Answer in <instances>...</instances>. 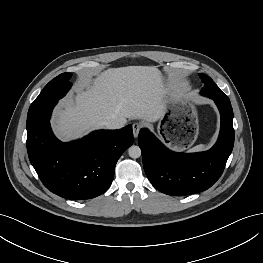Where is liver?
I'll list each match as a JSON object with an SVG mask.
<instances>
[{
    "label": "liver",
    "mask_w": 263,
    "mask_h": 263,
    "mask_svg": "<svg viewBox=\"0 0 263 263\" xmlns=\"http://www.w3.org/2000/svg\"><path fill=\"white\" fill-rule=\"evenodd\" d=\"M167 91L153 66L110 68L96 78L84 75L75 98L64 100L56 110L54 130L59 138L70 140L103 128L111 119L124 124L127 118L157 121L166 113Z\"/></svg>",
    "instance_id": "6515ba94"
}]
</instances>
